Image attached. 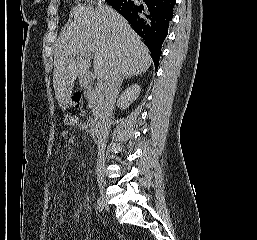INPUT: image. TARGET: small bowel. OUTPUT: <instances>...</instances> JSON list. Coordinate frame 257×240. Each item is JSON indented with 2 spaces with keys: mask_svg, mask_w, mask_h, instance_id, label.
<instances>
[{
  "mask_svg": "<svg viewBox=\"0 0 257 240\" xmlns=\"http://www.w3.org/2000/svg\"><path fill=\"white\" fill-rule=\"evenodd\" d=\"M68 134H69L68 130H63V131H61V133H60V137H61L62 139L67 138V137H68ZM61 222H64V221L61 220Z\"/></svg>",
  "mask_w": 257,
  "mask_h": 240,
  "instance_id": "small-bowel-1",
  "label": "small bowel"
}]
</instances>
